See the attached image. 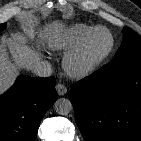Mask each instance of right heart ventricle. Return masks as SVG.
Masks as SVG:
<instances>
[{"instance_id":"1","label":"right heart ventricle","mask_w":141,"mask_h":141,"mask_svg":"<svg viewBox=\"0 0 141 141\" xmlns=\"http://www.w3.org/2000/svg\"><path fill=\"white\" fill-rule=\"evenodd\" d=\"M95 26L77 23L58 33L51 41L53 50L63 53L70 52L83 37Z\"/></svg>"}]
</instances>
